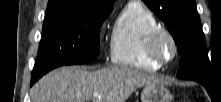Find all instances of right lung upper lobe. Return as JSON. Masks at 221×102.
Instances as JSON below:
<instances>
[{"label": "right lung upper lobe", "mask_w": 221, "mask_h": 102, "mask_svg": "<svg viewBox=\"0 0 221 102\" xmlns=\"http://www.w3.org/2000/svg\"><path fill=\"white\" fill-rule=\"evenodd\" d=\"M114 1L115 0H49L46 12L77 8L110 9L113 8Z\"/></svg>", "instance_id": "right-lung-upper-lobe-1"}]
</instances>
